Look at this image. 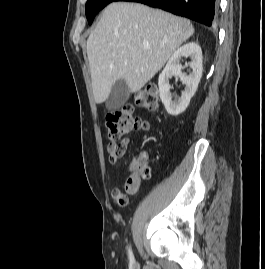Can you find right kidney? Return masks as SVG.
<instances>
[{"label": "right kidney", "mask_w": 265, "mask_h": 269, "mask_svg": "<svg viewBox=\"0 0 265 269\" xmlns=\"http://www.w3.org/2000/svg\"><path fill=\"white\" fill-rule=\"evenodd\" d=\"M183 57L191 58L188 65L192 71L189 75L182 73L180 60ZM202 71V50L195 42L186 43L177 49L170 57L158 79L160 98L168 114L177 116L186 110L190 99L197 90L202 77ZM173 75L178 76L185 85V89L182 91L181 97L175 101L172 100L170 93L171 86L169 84V80Z\"/></svg>", "instance_id": "obj_1"}]
</instances>
